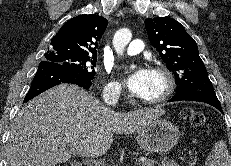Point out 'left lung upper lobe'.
I'll use <instances>...</instances> for the list:
<instances>
[{
  "instance_id": "obj_1",
  "label": "left lung upper lobe",
  "mask_w": 231,
  "mask_h": 166,
  "mask_svg": "<svg viewBox=\"0 0 231 166\" xmlns=\"http://www.w3.org/2000/svg\"><path fill=\"white\" fill-rule=\"evenodd\" d=\"M145 27L151 44L176 78L177 94L196 89L214 90L195 40L170 17L149 18Z\"/></svg>"
}]
</instances>
